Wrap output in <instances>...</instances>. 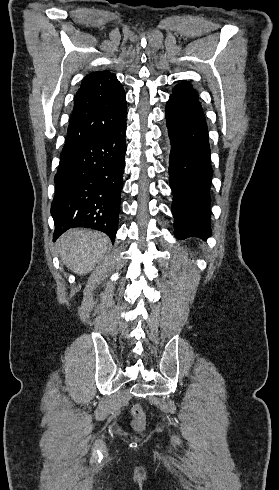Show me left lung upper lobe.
Instances as JSON below:
<instances>
[{
	"mask_svg": "<svg viewBox=\"0 0 279 490\" xmlns=\"http://www.w3.org/2000/svg\"><path fill=\"white\" fill-rule=\"evenodd\" d=\"M171 96L179 98L185 102L201 106L200 102L198 101V95L189 82H183L176 85L173 89V95Z\"/></svg>",
	"mask_w": 279,
	"mask_h": 490,
	"instance_id": "left-lung-upper-lobe-1",
	"label": "left lung upper lobe"
}]
</instances>
